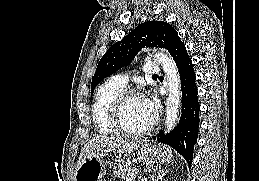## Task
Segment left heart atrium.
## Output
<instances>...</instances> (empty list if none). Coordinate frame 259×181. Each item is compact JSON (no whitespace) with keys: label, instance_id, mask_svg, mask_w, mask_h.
I'll return each instance as SVG.
<instances>
[{"label":"left heart atrium","instance_id":"39dd6f15","mask_svg":"<svg viewBox=\"0 0 259 181\" xmlns=\"http://www.w3.org/2000/svg\"><path fill=\"white\" fill-rule=\"evenodd\" d=\"M141 101L143 104L144 109L153 117H155L157 110H158V105L157 102L154 98L151 96H142Z\"/></svg>","mask_w":259,"mask_h":181}]
</instances>
